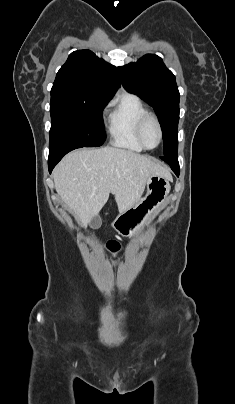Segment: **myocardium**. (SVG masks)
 Segmentation results:
<instances>
[{
    "label": "myocardium",
    "mask_w": 235,
    "mask_h": 404,
    "mask_svg": "<svg viewBox=\"0 0 235 404\" xmlns=\"http://www.w3.org/2000/svg\"><path fill=\"white\" fill-rule=\"evenodd\" d=\"M149 120H152V121L155 122V124H156V126H157V128H158V133H159L158 143H157L156 146H154V147H149V146H147L146 143L144 142V139H143L144 126H145V124H146ZM136 136H137V139H138L139 143L142 145V147H143L144 149H147V150L156 149V148L161 144L162 139H163L162 125H161V123H160L158 117H157L156 115L152 114V113H149V112L146 113L145 115H143V116L139 119V121H138V123H137Z\"/></svg>",
    "instance_id": "f54148a6"
}]
</instances>
